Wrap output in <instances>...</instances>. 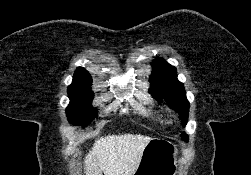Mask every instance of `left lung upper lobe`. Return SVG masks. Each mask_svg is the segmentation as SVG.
<instances>
[{"label": "left lung upper lobe", "instance_id": "1", "mask_svg": "<svg viewBox=\"0 0 251 175\" xmlns=\"http://www.w3.org/2000/svg\"><path fill=\"white\" fill-rule=\"evenodd\" d=\"M152 74L150 76V93L156 100L165 99L169 106L179 113L183 126L188 119L189 102L186 99L184 86L177 79V71L174 66L168 64L164 59L157 58L152 63ZM187 141L188 136L182 135Z\"/></svg>", "mask_w": 251, "mask_h": 175}]
</instances>
